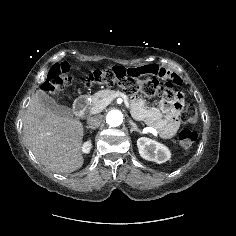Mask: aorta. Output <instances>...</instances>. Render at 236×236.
Returning a JSON list of instances; mask_svg holds the SVG:
<instances>
[{
	"mask_svg": "<svg viewBox=\"0 0 236 236\" xmlns=\"http://www.w3.org/2000/svg\"><path fill=\"white\" fill-rule=\"evenodd\" d=\"M106 122L111 127H117L123 122V114L119 110H111L106 116Z\"/></svg>",
	"mask_w": 236,
	"mask_h": 236,
	"instance_id": "762f6f07",
	"label": "aorta"
}]
</instances>
